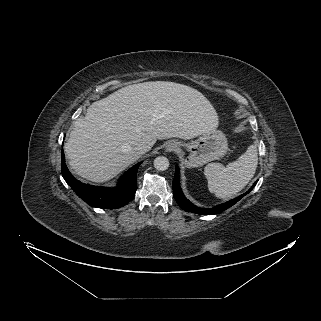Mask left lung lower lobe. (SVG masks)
Listing matches in <instances>:
<instances>
[{"label":"left lung lower lobe","instance_id":"0a47b994","mask_svg":"<svg viewBox=\"0 0 321 321\" xmlns=\"http://www.w3.org/2000/svg\"><path fill=\"white\" fill-rule=\"evenodd\" d=\"M256 183L257 182H255L247 192L228 202L222 203L213 208H208V209L198 208L184 196L181 190V187L179 185V168L177 167L175 171L174 180H173V196L176 202L178 203V205L185 211L197 213L201 215H213V214L221 213L226 209L230 208L235 203H237L242 197L248 194L255 187Z\"/></svg>","mask_w":321,"mask_h":321}]
</instances>
